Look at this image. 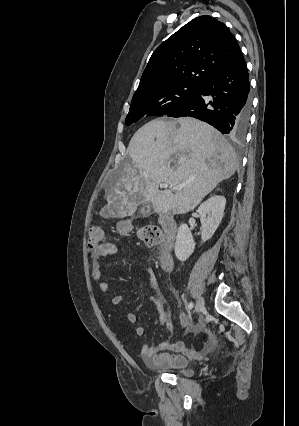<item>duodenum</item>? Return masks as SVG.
<instances>
[{
  "label": "duodenum",
  "instance_id": "1",
  "mask_svg": "<svg viewBox=\"0 0 299 426\" xmlns=\"http://www.w3.org/2000/svg\"><path fill=\"white\" fill-rule=\"evenodd\" d=\"M160 224L165 234V241L161 247L160 262L162 267L168 271L173 265L171 250L177 232V223L172 215L165 213L160 216Z\"/></svg>",
  "mask_w": 299,
  "mask_h": 426
}]
</instances>
